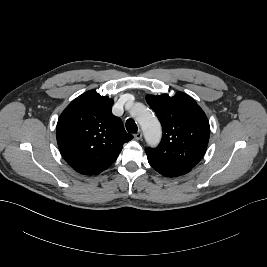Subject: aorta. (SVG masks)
<instances>
[{
  "instance_id": "aorta-1",
  "label": "aorta",
  "mask_w": 267,
  "mask_h": 267,
  "mask_svg": "<svg viewBox=\"0 0 267 267\" xmlns=\"http://www.w3.org/2000/svg\"><path fill=\"white\" fill-rule=\"evenodd\" d=\"M130 114L140 124L147 142L150 144H157L160 141L162 130L154 114L140 103H136L133 106L130 110Z\"/></svg>"
}]
</instances>
